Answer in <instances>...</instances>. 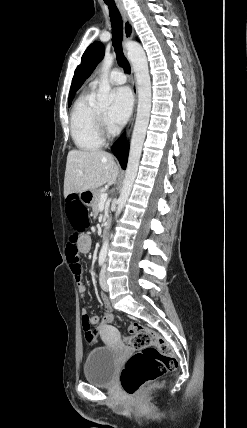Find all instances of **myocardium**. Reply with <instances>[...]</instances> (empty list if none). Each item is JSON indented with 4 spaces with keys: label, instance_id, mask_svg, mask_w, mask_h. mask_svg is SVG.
<instances>
[{
    "label": "myocardium",
    "instance_id": "obj_1",
    "mask_svg": "<svg viewBox=\"0 0 247 428\" xmlns=\"http://www.w3.org/2000/svg\"><path fill=\"white\" fill-rule=\"evenodd\" d=\"M96 120L100 130L102 131L105 125V119H104V116L98 110H96Z\"/></svg>",
    "mask_w": 247,
    "mask_h": 428
}]
</instances>
